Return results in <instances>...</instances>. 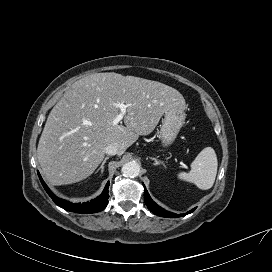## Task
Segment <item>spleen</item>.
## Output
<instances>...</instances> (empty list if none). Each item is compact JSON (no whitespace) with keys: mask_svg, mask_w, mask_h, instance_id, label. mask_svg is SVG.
<instances>
[{"mask_svg":"<svg viewBox=\"0 0 272 272\" xmlns=\"http://www.w3.org/2000/svg\"><path fill=\"white\" fill-rule=\"evenodd\" d=\"M189 173L180 172L178 178L183 181L194 183L199 189H210L215 181L218 161L213 148H204L191 164Z\"/></svg>","mask_w":272,"mask_h":272,"instance_id":"3e777b00","label":"spleen"}]
</instances>
